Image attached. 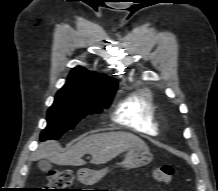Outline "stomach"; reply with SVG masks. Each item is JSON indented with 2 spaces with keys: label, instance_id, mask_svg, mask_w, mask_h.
Listing matches in <instances>:
<instances>
[{
  "label": "stomach",
  "instance_id": "stomach-1",
  "mask_svg": "<svg viewBox=\"0 0 218 191\" xmlns=\"http://www.w3.org/2000/svg\"><path fill=\"white\" fill-rule=\"evenodd\" d=\"M153 159L149 150L143 149H130L120 164L125 168H138L149 164ZM108 172V169L102 170H89L81 169L77 172V176L80 182L86 185L95 184L100 181L103 176Z\"/></svg>",
  "mask_w": 218,
  "mask_h": 191
}]
</instances>
